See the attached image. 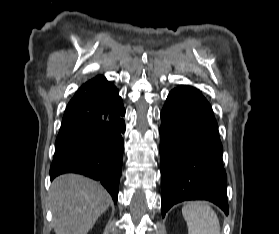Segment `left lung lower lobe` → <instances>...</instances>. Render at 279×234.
<instances>
[{"mask_svg":"<svg viewBox=\"0 0 279 234\" xmlns=\"http://www.w3.org/2000/svg\"><path fill=\"white\" fill-rule=\"evenodd\" d=\"M162 216L174 204L206 199L227 215V176L212 108L190 86L173 89L161 112Z\"/></svg>","mask_w":279,"mask_h":234,"instance_id":"1","label":"left lung lower lobe"}]
</instances>
